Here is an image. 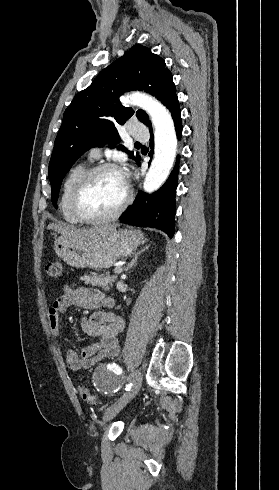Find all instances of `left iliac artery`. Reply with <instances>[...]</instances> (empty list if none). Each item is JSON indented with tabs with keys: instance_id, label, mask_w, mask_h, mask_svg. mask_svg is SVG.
Instances as JSON below:
<instances>
[{
	"instance_id": "left-iliac-artery-1",
	"label": "left iliac artery",
	"mask_w": 279,
	"mask_h": 490,
	"mask_svg": "<svg viewBox=\"0 0 279 490\" xmlns=\"http://www.w3.org/2000/svg\"><path fill=\"white\" fill-rule=\"evenodd\" d=\"M108 368H109L110 370H112V371H113L114 373H116V374H120V373H122V369H121V368H120L118 365H116L115 363H113V364H109V365H108ZM131 385H132V384H131ZM127 391H128V390H127Z\"/></svg>"
}]
</instances>
